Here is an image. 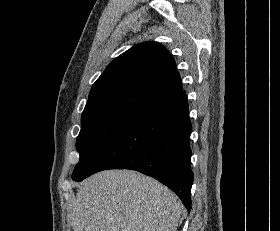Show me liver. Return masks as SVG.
Here are the masks:
<instances>
[{
  "instance_id": "6515ba94",
  "label": "liver",
  "mask_w": 280,
  "mask_h": 231,
  "mask_svg": "<svg viewBox=\"0 0 280 231\" xmlns=\"http://www.w3.org/2000/svg\"><path fill=\"white\" fill-rule=\"evenodd\" d=\"M179 197L133 169H107L78 185L70 209L74 231H176Z\"/></svg>"
}]
</instances>
